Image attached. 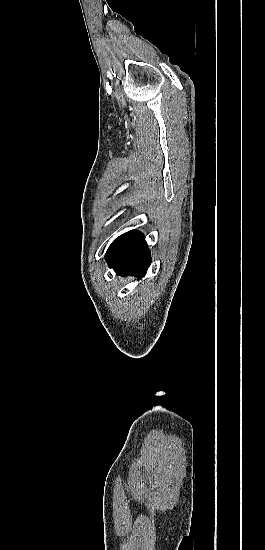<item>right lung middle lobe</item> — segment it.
<instances>
[{
  "label": "right lung middle lobe",
  "instance_id": "1",
  "mask_svg": "<svg viewBox=\"0 0 265 550\" xmlns=\"http://www.w3.org/2000/svg\"><path fill=\"white\" fill-rule=\"evenodd\" d=\"M132 231H129L127 233H124L123 235L119 236L117 239H115L113 241V243L110 245V247L108 248V251L107 253L109 252H112L114 249H116L126 238L127 236L131 233Z\"/></svg>",
  "mask_w": 265,
  "mask_h": 550
}]
</instances>
